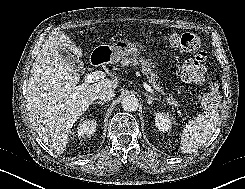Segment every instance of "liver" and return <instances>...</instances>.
<instances>
[{
  "label": "liver",
  "mask_w": 245,
  "mask_h": 189,
  "mask_svg": "<svg viewBox=\"0 0 245 189\" xmlns=\"http://www.w3.org/2000/svg\"><path fill=\"white\" fill-rule=\"evenodd\" d=\"M83 55L63 31L49 35L31 69L27 85V110L33 128L56 153H63L73 124L103 88H117L118 79L104 78L82 89L79 73L61 57L59 48Z\"/></svg>",
  "instance_id": "liver-1"
}]
</instances>
